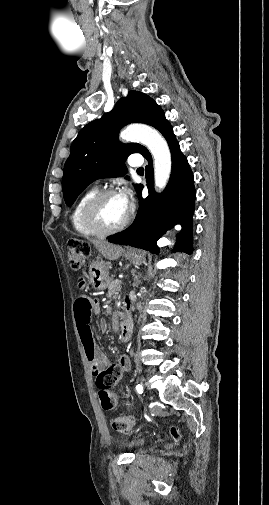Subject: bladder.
Returning a JSON list of instances; mask_svg holds the SVG:
<instances>
[{
	"label": "bladder",
	"instance_id": "bladder-1",
	"mask_svg": "<svg viewBox=\"0 0 269 505\" xmlns=\"http://www.w3.org/2000/svg\"><path fill=\"white\" fill-rule=\"evenodd\" d=\"M145 443H146L145 439L139 438V439H133V440L126 442L124 444V446L128 447V448H140V447L144 446Z\"/></svg>",
	"mask_w": 269,
	"mask_h": 505
}]
</instances>
